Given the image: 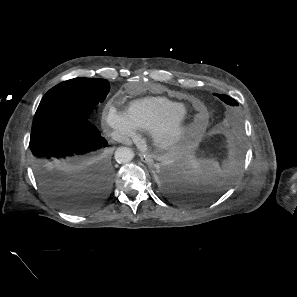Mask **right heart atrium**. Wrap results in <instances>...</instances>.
I'll list each match as a JSON object with an SVG mask.
<instances>
[{
    "label": "right heart atrium",
    "mask_w": 297,
    "mask_h": 297,
    "mask_svg": "<svg viewBox=\"0 0 297 297\" xmlns=\"http://www.w3.org/2000/svg\"><path fill=\"white\" fill-rule=\"evenodd\" d=\"M105 126L111 131L114 139L127 142L139 138V130L131 121L126 112L108 105L104 111Z\"/></svg>",
    "instance_id": "right-heart-atrium-1"
}]
</instances>
